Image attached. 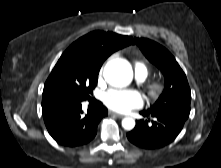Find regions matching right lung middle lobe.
Instances as JSON below:
<instances>
[{
  "instance_id": "1",
  "label": "right lung middle lobe",
  "mask_w": 221,
  "mask_h": 168,
  "mask_svg": "<svg viewBox=\"0 0 221 168\" xmlns=\"http://www.w3.org/2000/svg\"><path fill=\"white\" fill-rule=\"evenodd\" d=\"M101 66V62L90 56L63 53L45 82L43 96L90 98Z\"/></svg>"
}]
</instances>
